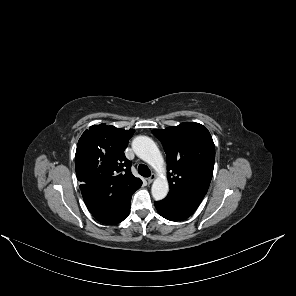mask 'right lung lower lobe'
I'll list each match as a JSON object with an SVG mask.
<instances>
[{"instance_id":"obj_1","label":"right lung lower lobe","mask_w":296,"mask_h":296,"mask_svg":"<svg viewBox=\"0 0 296 296\" xmlns=\"http://www.w3.org/2000/svg\"><path fill=\"white\" fill-rule=\"evenodd\" d=\"M136 190L119 195L82 194V196L88 210L99 222L117 224L129 215L131 196Z\"/></svg>"}]
</instances>
